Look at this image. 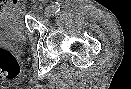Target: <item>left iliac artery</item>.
<instances>
[{
  "label": "left iliac artery",
  "mask_w": 131,
  "mask_h": 89,
  "mask_svg": "<svg viewBox=\"0 0 131 89\" xmlns=\"http://www.w3.org/2000/svg\"><path fill=\"white\" fill-rule=\"evenodd\" d=\"M52 7L53 11L55 12H58L60 10V5L57 2H55V4H53Z\"/></svg>",
  "instance_id": "1"
}]
</instances>
